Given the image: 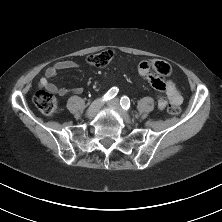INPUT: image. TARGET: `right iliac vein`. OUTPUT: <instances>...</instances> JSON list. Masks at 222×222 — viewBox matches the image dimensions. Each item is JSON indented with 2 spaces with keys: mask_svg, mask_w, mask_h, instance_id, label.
<instances>
[{
  "mask_svg": "<svg viewBox=\"0 0 222 222\" xmlns=\"http://www.w3.org/2000/svg\"><path fill=\"white\" fill-rule=\"evenodd\" d=\"M102 105L103 101L101 99H97L94 102H92V104L89 106V108L86 111V117L90 119L93 118L98 113Z\"/></svg>",
  "mask_w": 222,
  "mask_h": 222,
  "instance_id": "63e3f726",
  "label": "right iliac vein"
}]
</instances>
